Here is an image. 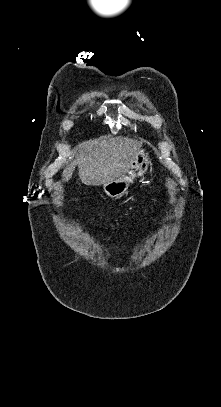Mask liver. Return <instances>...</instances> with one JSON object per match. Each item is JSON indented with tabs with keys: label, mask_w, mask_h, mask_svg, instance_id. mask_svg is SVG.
Segmentation results:
<instances>
[{
	"label": "liver",
	"mask_w": 221,
	"mask_h": 407,
	"mask_svg": "<svg viewBox=\"0 0 221 407\" xmlns=\"http://www.w3.org/2000/svg\"><path fill=\"white\" fill-rule=\"evenodd\" d=\"M141 145L142 142L121 136L85 141L79 146L77 157L64 168L62 180L68 182L78 166L83 184L97 186L110 182L125 173Z\"/></svg>",
	"instance_id": "6515ba94"
}]
</instances>
